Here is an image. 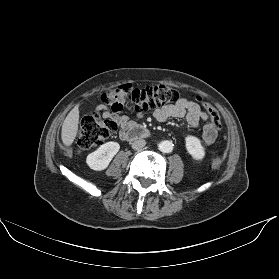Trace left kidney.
<instances>
[{
	"mask_svg": "<svg viewBox=\"0 0 279 279\" xmlns=\"http://www.w3.org/2000/svg\"><path fill=\"white\" fill-rule=\"evenodd\" d=\"M185 146L188 153L195 159V160H202L205 156V148L202 146L201 141L199 138L188 135L185 138Z\"/></svg>",
	"mask_w": 279,
	"mask_h": 279,
	"instance_id": "obj_1",
	"label": "left kidney"
}]
</instances>
